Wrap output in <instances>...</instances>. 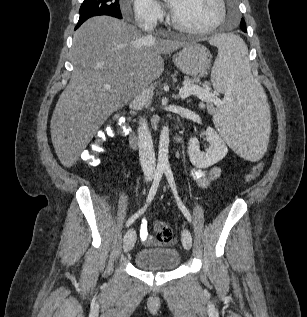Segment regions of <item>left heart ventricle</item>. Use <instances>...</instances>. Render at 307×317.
Instances as JSON below:
<instances>
[{"label":"left heart ventricle","instance_id":"b2bd125f","mask_svg":"<svg viewBox=\"0 0 307 317\" xmlns=\"http://www.w3.org/2000/svg\"><path fill=\"white\" fill-rule=\"evenodd\" d=\"M172 13L183 25L205 28L215 22L219 15L217 0H169Z\"/></svg>","mask_w":307,"mask_h":317}]
</instances>
